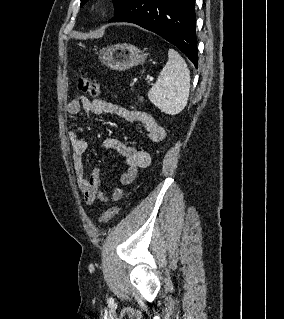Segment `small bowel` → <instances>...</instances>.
I'll use <instances>...</instances> for the list:
<instances>
[{
    "mask_svg": "<svg viewBox=\"0 0 284 319\" xmlns=\"http://www.w3.org/2000/svg\"><path fill=\"white\" fill-rule=\"evenodd\" d=\"M94 115L112 114L124 118L130 122L140 123L145 131L146 137L153 143L161 142L166 136L165 129L150 114L127 109L117 104L104 100H90L87 97H79L71 100L67 105V112L75 115L80 111ZM69 140L72 147V161L78 186L83 193L84 201L88 205L96 201L106 203L110 199L119 201L124 196V190L116 187L109 196L101 187L100 170L95 168L88 174L85 173L83 155L88 149V143L76 132H69ZM106 149L115 150L125 160L126 169L120 176L122 185H130L135 180L138 170L149 166L151 162L150 153L146 150L135 148L115 139H106L103 143Z\"/></svg>",
    "mask_w": 284,
    "mask_h": 319,
    "instance_id": "c3829d8e",
    "label": "small bowel"
}]
</instances>
